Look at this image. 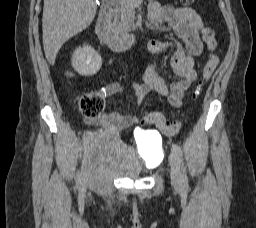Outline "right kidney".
Returning a JSON list of instances; mask_svg holds the SVG:
<instances>
[{"instance_id":"ca27d5eb","label":"right kidney","mask_w":256,"mask_h":228,"mask_svg":"<svg viewBox=\"0 0 256 228\" xmlns=\"http://www.w3.org/2000/svg\"><path fill=\"white\" fill-rule=\"evenodd\" d=\"M72 66L81 76H93L100 70L102 58L91 46L84 45L75 50L72 56Z\"/></svg>"}]
</instances>
